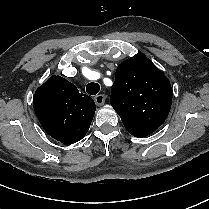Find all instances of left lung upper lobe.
Masks as SVG:
<instances>
[{"instance_id":"obj_1","label":"left lung upper lobe","mask_w":209,"mask_h":209,"mask_svg":"<svg viewBox=\"0 0 209 209\" xmlns=\"http://www.w3.org/2000/svg\"><path fill=\"white\" fill-rule=\"evenodd\" d=\"M171 103L169 80L146 56L136 54L117 67L110 104L133 136L153 133L167 118Z\"/></svg>"}]
</instances>
